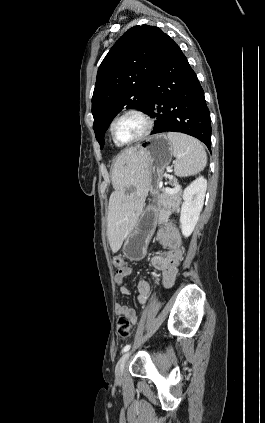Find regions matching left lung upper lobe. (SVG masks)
<instances>
[{"label": "left lung upper lobe", "instance_id": "obj_1", "mask_svg": "<svg viewBox=\"0 0 265 423\" xmlns=\"http://www.w3.org/2000/svg\"><path fill=\"white\" fill-rule=\"evenodd\" d=\"M166 34L158 27L134 26L110 49L97 72L92 97L93 128L104 146V133L123 108L147 109V91Z\"/></svg>", "mask_w": 265, "mask_h": 423}]
</instances>
